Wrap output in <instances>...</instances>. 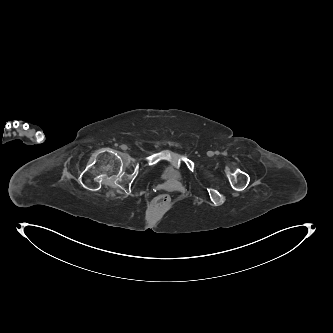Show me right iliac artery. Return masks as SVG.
<instances>
[{"label": "right iliac artery", "mask_w": 333, "mask_h": 333, "mask_svg": "<svg viewBox=\"0 0 333 333\" xmlns=\"http://www.w3.org/2000/svg\"><path fill=\"white\" fill-rule=\"evenodd\" d=\"M120 147H121V149H122V150H126V149H127V146H126V145H124V144H123V145H121Z\"/></svg>", "instance_id": "1"}]
</instances>
